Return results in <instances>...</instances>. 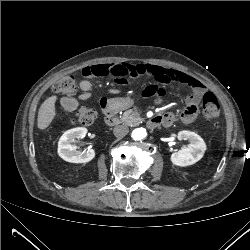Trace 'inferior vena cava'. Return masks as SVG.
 Masks as SVG:
<instances>
[{"label": "inferior vena cava", "instance_id": "obj_1", "mask_svg": "<svg viewBox=\"0 0 250 250\" xmlns=\"http://www.w3.org/2000/svg\"><path fill=\"white\" fill-rule=\"evenodd\" d=\"M128 132H129V128L125 124H122L115 129V134L121 137L126 136Z\"/></svg>", "mask_w": 250, "mask_h": 250}]
</instances>
